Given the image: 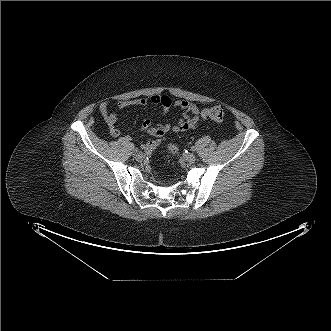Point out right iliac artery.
Instances as JSON below:
<instances>
[{"label": "right iliac artery", "instance_id": "right-iliac-artery-1", "mask_svg": "<svg viewBox=\"0 0 331 331\" xmlns=\"http://www.w3.org/2000/svg\"><path fill=\"white\" fill-rule=\"evenodd\" d=\"M133 152H134V153H137V152H139V149L134 148V149H133Z\"/></svg>", "mask_w": 331, "mask_h": 331}]
</instances>
